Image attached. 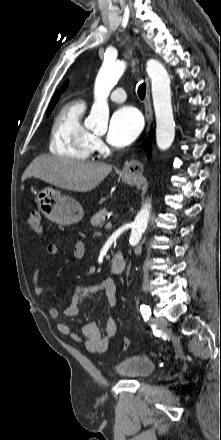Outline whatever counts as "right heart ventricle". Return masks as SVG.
Segmentation results:
<instances>
[{
    "label": "right heart ventricle",
    "instance_id": "e07e8e85",
    "mask_svg": "<svg viewBox=\"0 0 221 440\" xmlns=\"http://www.w3.org/2000/svg\"><path fill=\"white\" fill-rule=\"evenodd\" d=\"M85 104L81 100L66 103L57 113L51 132L50 151L61 157L87 160L94 152L93 134L83 124Z\"/></svg>",
    "mask_w": 221,
    "mask_h": 440
}]
</instances>
